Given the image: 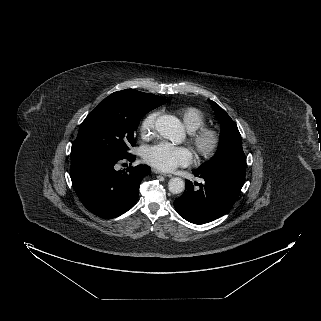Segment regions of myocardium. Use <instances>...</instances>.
I'll return each instance as SVG.
<instances>
[{"label":"myocardium","mask_w":321,"mask_h":321,"mask_svg":"<svg viewBox=\"0 0 321 321\" xmlns=\"http://www.w3.org/2000/svg\"><path fill=\"white\" fill-rule=\"evenodd\" d=\"M189 141L198 158L207 161L218 153L222 143V134L215 127L203 126L190 133Z\"/></svg>","instance_id":"f54148a6"}]
</instances>
